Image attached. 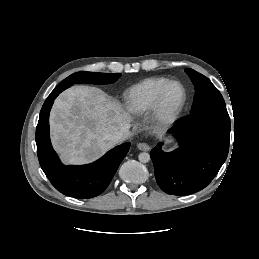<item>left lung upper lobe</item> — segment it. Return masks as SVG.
Listing matches in <instances>:
<instances>
[{"label": "left lung upper lobe", "instance_id": "1", "mask_svg": "<svg viewBox=\"0 0 259 259\" xmlns=\"http://www.w3.org/2000/svg\"><path fill=\"white\" fill-rule=\"evenodd\" d=\"M195 87L196 94L191 113L209 108H226L225 101L218 89L204 75L193 69H186Z\"/></svg>", "mask_w": 259, "mask_h": 259}]
</instances>
